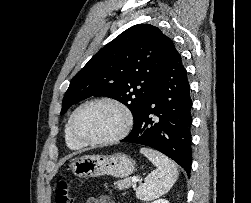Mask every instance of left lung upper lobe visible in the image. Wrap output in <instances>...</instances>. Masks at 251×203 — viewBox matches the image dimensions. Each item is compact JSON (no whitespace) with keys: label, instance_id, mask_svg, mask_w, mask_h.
Segmentation results:
<instances>
[{"label":"left lung upper lobe","instance_id":"left-lung-upper-lobe-1","mask_svg":"<svg viewBox=\"0 0 251 203\" xmlns=\"http://www.w3.org/2000/svg\"><path fill=\"white\" fill-rule=\"evenodd\" d=\"M173 50V41L153 25L138 24L128 28L72 78L61 115L78 101L107 96L126 105L135 123Z\"/></svg>","mask_w":251,"mask_h":203}]
</instances>
